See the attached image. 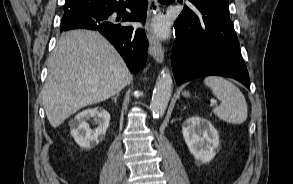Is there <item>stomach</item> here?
<instances>
[{"mask_svg": "<svg viewBox=\"0 0 293 184\" xmlns=\"http://www.w3.org/2000/svg\"><path fill=\"white\" fill-rule=\"evenodd\" d=\"M184 95H185V96H189V93H188V92H184Z\"/></svg>", "mask_w": 293, "mask_h": 184, "instance_id": "obj_1", "label": "stomach"}]
</instances>
